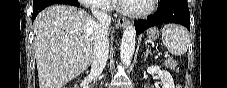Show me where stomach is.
I'll list each match as a JSON object with an SVG mask.
<instances>
[{"label":"stomach","instance_id":"1","mask_svg":"<svg viewBox=\"0 0 227 88\" xmlns=\"http://www.w3.org/2000/svg\"><path fill=\"white\" fill-rule=\"evenodd\" d=\"M159 37V32H158V29L157 28H150L148 31H147V38L149 40H155Z\"/></svg>","mask_w":227,"mask_h":88}]
</instances>
